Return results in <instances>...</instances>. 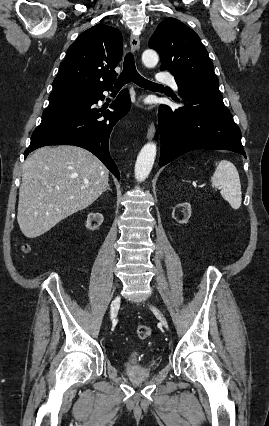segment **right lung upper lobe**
I'll return each instance as SVG.
<instances>
[{
    "label": "right lung upper lobe",
    "instance_id": "right-lung-upper-lobe-1",
    "mask_svg": "<svg viewBox=\"0 0 269 426\" xmlns=\"http://www.w3.org/2000/svg\"><path fill=\"white\" fill-rule=\"evenodd\" d=\"M122 56L118 29L97 24L81 33L69 47L53 81L52 92H92L111 88Z\"/></svg>",
    "mask_w": 269,
    "mask_h": 426
}]
</instances>
